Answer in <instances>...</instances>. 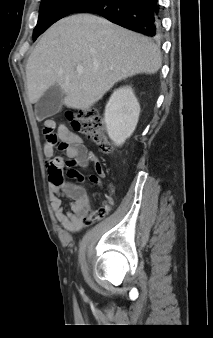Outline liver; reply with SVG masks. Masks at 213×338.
Here are the masks:
<instances>
[{
    "label": "liver",
    "mask_w": 213,
    "mask_h": 338,
    "mask_svg": "<svg viewBox=\"0 0 213 338\" xmlns=\"http://www.w3.org/2000/svg\"><path fill=\"white\" fill-rule=\"evenodd\" d=\"M77 67L83 68L79 75ZM161 52L149 38L90 14L72 15L52 25L26 64L30 103L58 84L64 105L86 110L115 83L137 74H154Z\"/></svg>",
    "instance_id": "1"
}]
</instances>
